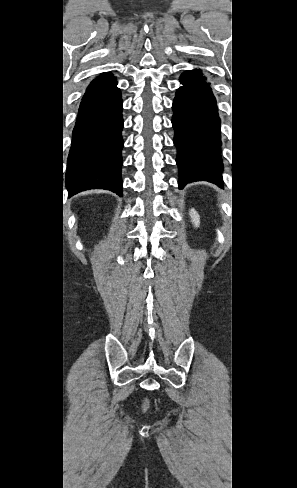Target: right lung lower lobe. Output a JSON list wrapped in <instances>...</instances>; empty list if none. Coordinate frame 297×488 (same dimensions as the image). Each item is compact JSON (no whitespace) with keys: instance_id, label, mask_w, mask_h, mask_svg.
Wrapping results in <instances>:
<instances>
[{"instance_id":"right-lung-lower-lobe-1","label":"right lung lower lobe","mask_w":297,"mask_h":488,"mask_svg":"<svg viewBox=\"0 0 297 488\" xmlns=\"http://www.w3.org/2000/svg\"><path fill=\"white\" fill-rule=\"evenodd\" d=\"M114 77L83 96L72 135L69 196L89 189L122 195V99Z\"/></svg>"}]
</instances>
